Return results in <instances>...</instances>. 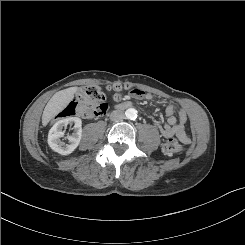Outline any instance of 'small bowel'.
Instances as JSON below:
<instances>
[{
  "mask_svg": "<svg viewBox=\"0 0 245 245\" xmlns=\"http://www.w3.org/2000/svg\"><path fill=\"white\" fill-rule=\"evenodd\" d=\"M131 96L135 99L140 100H150L152 98L151 94L138 89L131 90ZM175 108V104H170L169 106H167L165 110V114L167 117L166 123L156 124V126L158 127L163 137L168 138L172 136H177L181 141L188 142L190 136L186 131L187 114L184 110H180L178 112V115L175 116Z\"/></svg>",
  "mask_w": 245,
  "mask_h": 245,
  "instance_id": "small-bowel-1",
  "label": "small bowel"
}]
</instances>
